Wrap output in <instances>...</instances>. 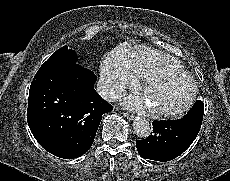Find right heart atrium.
Listing matches in <instances>:
<instances>
[{"instance_id":"d8ad5b80","label":"right heart atrium","mask_w":230,"mask_h":181,"mask_svg":"<svg viewBox=\"0 0 230 181\" xmlns=\"http://www.w3.org/2000/svg\"><path fill=\"white\" fill-rule=\"evenodd\" d=\"M136 82L135 75L128 69L112 65L106 58L100 66V85L106 96L115 98Z\"/></svg>"}]
</instances>
